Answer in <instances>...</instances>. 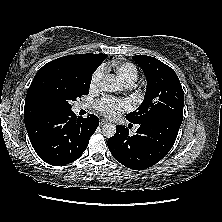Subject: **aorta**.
I'll return each mask as SVG.
<instances>
[{"label":"aorta","mask_w":222,"mask_h":222,"mask_svg":"<svg viewBox=\"0 0 222 222\" xmlns=\"http://www.w3.org/2000/svg\"><path fill=\"white\" fill-rule=\"evenodd\" d=\"M99 88L101 91L104 92H115L119 90L120 86L113 76L108 75L101 81ZM102 133L107 138L113 137L116 133L115 125L111 123H106L102 127Z\"/></svg>","instance_id":"obj_1"}]
</instances>
